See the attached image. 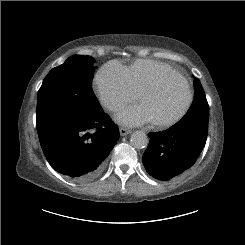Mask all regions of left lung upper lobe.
<instances>
[{"label": "left lung upper lobe", "instance_id": "left-lung-upper-lobe-1", "mask_svg": "<svg viewBox=\"0 0 245 245\" xmlns=\"http://www.w3.org/2000/svg\"><path fill=\"white\" fill-rule=\"evenodd\" d=\"M194 101L186 116L173 128H191L208 132L209 107L199 79H194Z\"/></svg>", "mask_w": 245, "mask_h": 245}]
</instances>
